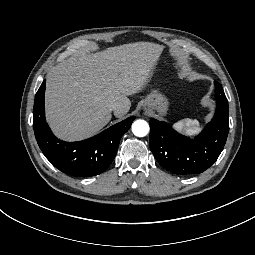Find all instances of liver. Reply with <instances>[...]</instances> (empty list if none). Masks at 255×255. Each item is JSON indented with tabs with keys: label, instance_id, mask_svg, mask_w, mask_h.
Wrapping results in <instances>:
<instances>
[{
	"label": "liver",
	"instance_id": "liver-1",
	"mask_svg": "<svg viewBox=\"0 0 255 255\" xmlns=\"http://www.w3.org/2000/svg\"><path fill=\"white\" fill-rule=\"evenodd\" d=\"M163 45L135 42L81 53L54 66L47 75L46 119L62 140L92 136L111 120V104L117 118L130 109L127 96L140 92L155 68Z\"/></svg>",
	"mask_w": 255,
	"mask_h": 255
}]
</instances>
